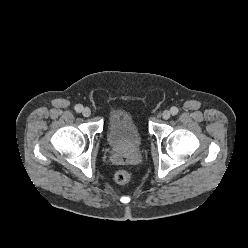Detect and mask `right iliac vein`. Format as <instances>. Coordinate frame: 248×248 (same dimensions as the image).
<instances>
[{
  "label": "right iliac vein",
  "mask_w": 248,
  "mask_h": 248,
  "mask_svg": "<svg viewBox=\"0 0 248 248\" xmlns=\"http://www.w3.org/2000/svg\"><path fill=\"white\" fill-rule=\"evenodd\" d=\"M82 114L83 116L88 117L91 114V110L88 107H86L83 109Z\"/></svg>",
  "instance_id": "obj_1"
}]
</instances>
